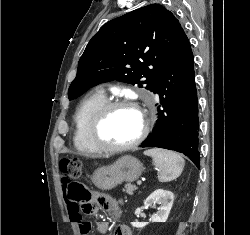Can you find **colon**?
<instances>
[{"label": "colon", "mask_w": 250, "mask_h": 235, "mask_svg": "<svg viewBox=\"0 0 250 235\" xmlns=\"http://www.w3.org/2000/svg\"><path fill=\"white\" fill-rule=\"evenodd\" d=\"M81 170L82 164L79 159H62L60 161V171L67 185L66 190L69 197L77 203L78 210L88 211L92 209L88 192L85 186L78 182Z\"/></svg>", "instance_id": "obj_1"}]
</instances>
